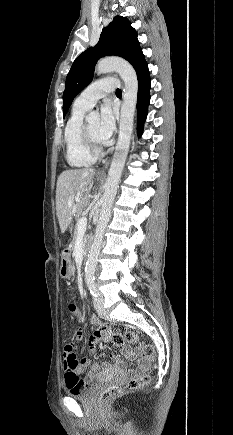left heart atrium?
<instances>
[{
    "instance_id": "left-heart-atrium-1",
    "label": "left heart atrium",
    "mask_w": 233,
    "mask_h": 435,
    "mask_svg": "<svg viewBox=\"0 0 233 435\" xmlns=\"http://www.w3.org/2000/svg\"><path fill=\"white\" fill-rule=\"evenodd\" d=\"M116 129V112L110 103L106 102L101 108L98 137L101 144H109Z\"/></svg>"
}]
</instances>
